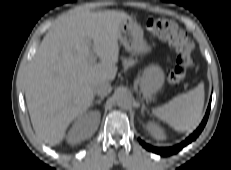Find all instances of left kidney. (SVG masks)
<instances>
[{
  "mask_svg": "<svg viewBox=\"0 0 231 170\" xmlns=\"http://www.w3.org/2000/svg\"><path fill=\"white\" fill-rule=\"evenodd\" d=\"M147 129L151 132L153 137L156 139L163 140L166 138L164 130L160 126H158L157 124H155L153 122H149L147 124Z\"/></svg>",
  "mask_w": 231,
  "mask_h": 170,
  "instance_id": "1",
  "label": "left kidney"
}]
</instances>
